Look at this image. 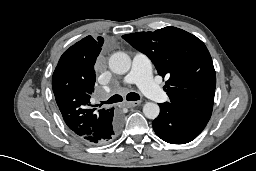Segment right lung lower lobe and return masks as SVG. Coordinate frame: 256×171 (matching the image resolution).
Segmentation results:
<instances>
[{
    "label": "right lung lower lobe",
    "mask_w": 256,
    "mask_h": 171,
    "mask_svg": "<svg viewBox=\"0 0 256 171\" xmlns=\"http://www.w3.org/2000/svg\"><path fill=\"white\" fill-rule=\"evenodd\" d=\"M121 127V116L118 113L112 114L110 119L107 120L101 132L96 136H84L80 140L88 144H103L110 141L119 132Z\"/></svg>",
    "instance_id": "1"
}]
</instances>
